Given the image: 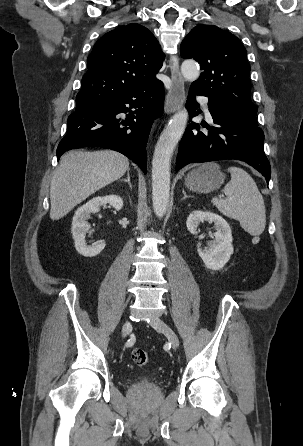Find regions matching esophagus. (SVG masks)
I'll list each match as a JSON object with an SVG mask.
<instances>
[{
    "label": "esophagus",
    "instance_id": "34e87169",
    "mask_svg": "<svg viewBox=\"0 0 303 446\" xmlns=\"http://www.w3.org/2000/svg\"><path fill=\"white\" fill-rule=\"evenodd\" d=\"M171 88L165 102V113L178 111L185 100L184 79L179 69V60L176 54L170 56Z\"/></svg>",
    "mask_w": 303,
    "mask_h": 446
}]
</instances>
